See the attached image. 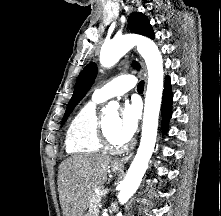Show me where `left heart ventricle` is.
I'll return each mask as SVG.
<instances>
[{
    "instance_id": "b2bd125f",
    "label": "left heart ventricle",
    "mask_w": 221,
    "mask_h": 216,
    "mask_svg": "<svg viewBox=\"0 0 221 216\" xmlns=\"http://www.w3.org/2000/svg\"><path fill=\"white\" fill-rule=\"evenodd\" d=\"M104 120H105L107 131L111 139L116 143L125 141V139L121 137L119 130H118V120H119L118 114L110 113L109 115L105 117Z\"/></svg>"
}]
</instances>
